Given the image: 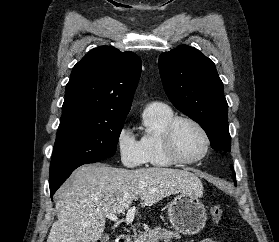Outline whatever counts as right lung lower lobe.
Wrapping results in <instances>:
<instances>
[{
  "label": "right lung lower lobe",
  "mask_w": 279,
  "mask_h": 242,
  "mask_svg": "<svg viewBox=\"0 0 279 242\" xmlns=\"http://www.w3.org/2000/svg\"><path fill=\"white\" fill-rule=\"evenodd\" d=\"M102 159H89V160H85L82 161L76 165H74L72 168H70L67 172L61 174L59 177H57L54 180L49 181V187H50V194L51 197L53 196V194L56 192V190L62 185V183L70 176V174L79 166L83 165V164H87V163H95L98 162Z\"/></svg>",
  "instance_id": "1"
}]
</instances>
